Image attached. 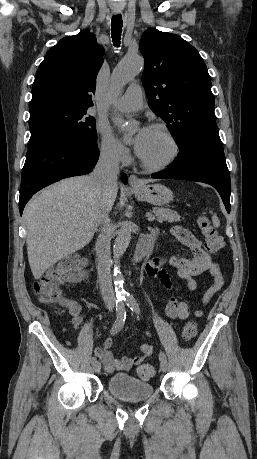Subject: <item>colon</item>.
<instances>
[{"label": "colon", "instance_id": "obj_1", "mask_svg": "<svg viewBox=\"0 0 257 459\" xmlns=\"http://www.w3.org/2000/svg\"><path fill=\"white\" fill-rule=\"evenodd\" d=\"M198 227L205 239V248L210 253H217L223 247V239L218 234L209 218L202 214L198 217ZM84 260L79 257L68 258L57 266L49 269L45 275L34 282L33 290L39 301L45 305L60 304L66 305L67 300L63 298L60 284L65 279L78 280L83 276ZM197 335V325L194 321H188L182 330L184 340H191ZM138 376L143 380L152 378L155 368L150 364L141 365L137 370Z\"/></svg>", "mask_w": 257, "mask_h": 459}]
</instances>
